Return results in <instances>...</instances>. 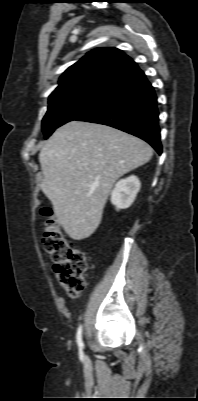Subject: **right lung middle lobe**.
I'll return each instance as SVG.
<instances>
[{"instance_id": "obj_1", "label": "right lung middle lobe", "mask_w": 198, "mask_h": 401, "mask_svg": "<svg viewBox=\"0 0 198 401\" xmlns=\"http://www.w3.org/2000/svg\"><path fill=\"white\" fill-rule=\"evenodd\" d=\"M107 88L87 87L49 98V106L42 121V130L47 139L59 126L76 120L104 98Z\"/></svg>"}]
</instances>
